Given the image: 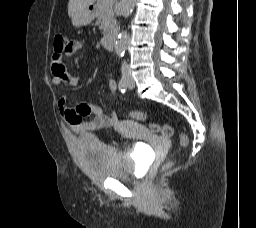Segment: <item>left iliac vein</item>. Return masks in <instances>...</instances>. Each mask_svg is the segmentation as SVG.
Masks as SVG:
<instances>
[{
  "instance_id": "1",
  "label": "left iliac vein",
  "mask_w": 256,
  "mask_h": 228,
  "mask_svg": "<svg viewBox=\"0 0 256 228\" xmlns=\"http://www.w3.org/2000/svg\"><path fill=\"white\" fill-rule=\"evenodd\" d=\"M127 84L130 89L134 88L135 82L130 74H127Z\"/></svg>"
}]
</instances>
